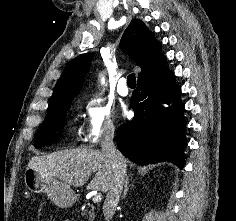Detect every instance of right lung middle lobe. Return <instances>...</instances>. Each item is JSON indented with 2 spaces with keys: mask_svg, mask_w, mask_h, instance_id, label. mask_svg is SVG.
<instances>
[{
  "mask_svg": "<svg viewBox=\"0 0 236 221\" xmlns=\"http://www.w3.org/2000/svg\"><path fill=\"white\" fill-rule=\"evenodd\" d=\"M71 102L72 100L48 111L47 117L42 123L40 132L34 143L36 148L52 144L59 140L65 126L66 112Z\"/></svg>",
  "mask_w": 236,
  "mask_h": 221,
  "instance_id": "right-lung-middle-lobe-1",
  "label": "right lung middle lobe"
}]
</instances>
